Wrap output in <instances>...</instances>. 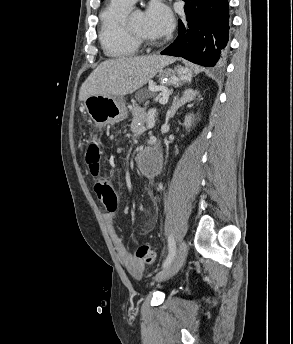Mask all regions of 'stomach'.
I'll return each instance as SVG.
<instances>
[{"label":"stomach","mask_w":293,"mask_h":344,"mask_svg":"<svg viewBox=\"0 0 293 344\" xmlns=\"http://www.w3.org/2000/svg\"><path fill=\"white\" fill-rule=\"evenodd\" d=\"M158 73L161 84L176 86L189 81L192 75L191 70L183 66L161 69ZM84 108L92 121L99 126L118 123L128 115L123 99L117 96H90L84 100Z\"/></svg>","instance_id":"1"}]
</instances>
